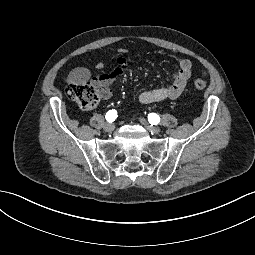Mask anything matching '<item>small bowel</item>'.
I'll return each mask as SVG.
<instances>
[{
	"instance_id": "1",
	"label": "small bowel",
	"mask_w": 255,
	"mask_h": 255,
	"mask_svg": "<svg viewBox=\"0 0 255 255\" xmlns=\"http://www.w3.org/2000/svg\"><path fill=\"white\" fill-rule=\"evenodd\" d=\"M117 52L116 66L110 72L94 76L91 69L77 67L70 71L68 82L70 84L91 82L99 89L100 96L103 99H108L111 96V85L127 69V61L124 58L127 50L120 48ZM176 62L178 64V70L173 74L172 82L166 86L140 92L137 95V99L140 103L151 104L164 100H173L182 94L191 76L192 64L188 59L182 56H177ZM103 67L104 63L102 61H99L95 66L97 70H101Z\"/></svg>"
}]
</instances>
